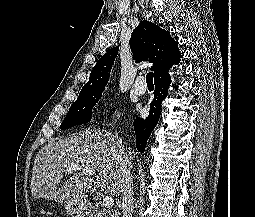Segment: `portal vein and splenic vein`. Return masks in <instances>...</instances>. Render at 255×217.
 Masks as SVG:
<instances>
[{
  "mask_svg": "<svg viewBox=\"0 0 255 217\" xmlns=\"http://www.w3.org/2000/svg\"><path fill=\"white\" fill-rule=\"evenodd\" d=\"M78 170H81V166L78 165V164H71L70 166L67 167V172L69 174H72L73 172H76ZM86 173H88L90 176H96V174L91 171V170H85ZM114 204V199L112 198V196H105V198L103 199V203L102 205L105 207V208H111Z\"/></svg>",
  "mask_w": 255,
  "mask_h": 217,
  "instance_id": "portal-vein-and-splenic-vein-1",
  "label": "portal vein and splenic vein"
}]
</instances>
